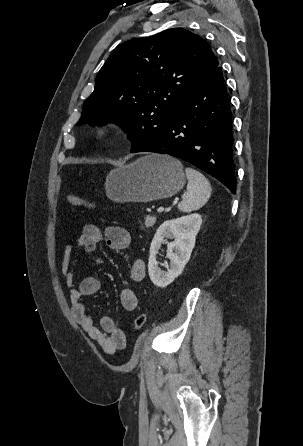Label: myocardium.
Instances as JSON below:
<instances>
[{"label":"myocardium","instance_id":"myocardium-1","mask_svg":"<svg viewBox=\"0 0 303 446\" xmlns=\"http://www.w3.org/2000/svg\"><path fill=\"white\" fill-rule=\"evenodd\" d=\"M114 127L110 123H101L95 129V136L99 140H106L112 136Z\"/></svg>","mask_w":303,"mask_h":446}]
</instances>
